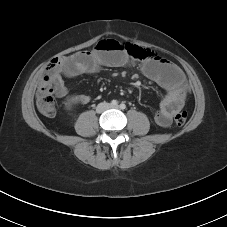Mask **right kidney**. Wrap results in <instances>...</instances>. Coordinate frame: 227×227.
<instances>
[{
  "label": "right kidney",
  "instance_id": "ca27d5eb",
  "mask_svg": "<svg viewBox=\"0 0 227 227\" xmlns=\"http://www.w3.org/2000/svg\"><path fill=\"white\" fill-rule=\"evenodd\" d=\"M73 103H76V99H75V98L72 99V101H71L70 103H68V106H67V107H68V108L71 107V105H72Z\"/></svg>",
  "mask_w": 227,
  "mask_h": 227
}]
</instances>
